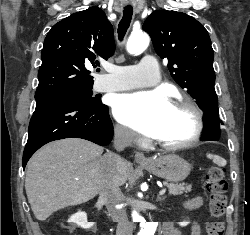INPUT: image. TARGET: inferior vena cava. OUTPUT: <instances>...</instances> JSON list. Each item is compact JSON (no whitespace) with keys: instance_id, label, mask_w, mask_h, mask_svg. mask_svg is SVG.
<instances>
[{"instance_id":"1","label":"inferior vena cava","mask_w":250,"mask_h":235,"mask_svg":"<svg viewBox=\"0 0 250 235\" xmlns=\"http://www.w3.org/2000/svg\"><path fill=\"white\" fill-rule=\"evenodd\" d=\"M134 140V133L127 128L117 126L114 129V147L122 151L131 145ZM104 167L99 171V199L102 200L113 221L117 222L116 235H132L133 225L127 218L126 211L117 208L120 201L121 191L114 180L116 167L122 162L119 155L108 153L103 156Z\"/></svg>"}]
</instances>
